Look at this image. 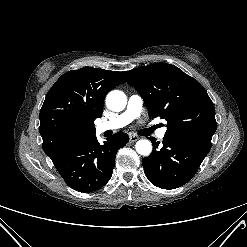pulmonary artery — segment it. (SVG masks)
Here are the masks:
<instances>
[{
	"label": "pulmonary artery",
	"mask_w": 247,
	"mask_h": 247,
	"mask_svg": "<svg viewBox=\"0 0 247 247\" xmlns=\"http://www.w3.org/2000/svg\"><path fill=\"white\" fill-rule=\"evenodd\" d=\"M142 104L143 102L139 95H131L128 99L126 109L122 113L113 117L112 119L99 123L96 126V131L98 133H103L108 130H117L125 127L140 116ZM152 129L155 130V128ZM165 134V128L156 130V135L159 139H163L165 137Z\"/></svg>",
	"instance_id": "pulmonary-artery-1"
}]
</instances>
